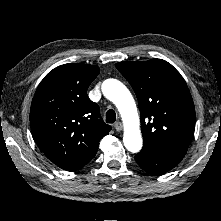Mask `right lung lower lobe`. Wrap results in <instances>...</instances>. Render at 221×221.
Instances as JSON below:
<instances>
[{
  "label": "right lung lower lobe",
  "instance_id": "98d812e1",
  "mask_svg": "<svg viewBox=\"0 0 221 221\" xmlns=\"http://www.w3.org/2000/svg\"><path fill=\"white\" fill-rule=\"evenodd\" d=\"M94 156H95V155H93V156H92L89 160H87L86 162L82 163L79 167L74 168V169H71V170H68V171H75V170L81 169V168L84 167V165H85L86 163H88Z\"/></svg>",
  "mask_w": 221,
  "mask_h": 221
}]
</instances>
